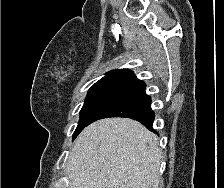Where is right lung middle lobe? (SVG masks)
Returning a JSON list of instances; mask_svg holds the SVG:
<instances>
[{
  "instance_id": "obj_1",
  "label": "right lung middle lobe",
  "mask_w": 224,
  "mask_h": 188,
  "mask_svg": "<svg viewBox=\"0 0 224 188\" xmlns=\"http://www.w3.org/2000/svg\"><path fill=\"white\" fill-rule=\"evenodd\" d=\"M130 82L128 80H101L89 89L80 111V120L73 134V140L89 124L93 115Z\"/></svg>"
}]
</instances>
